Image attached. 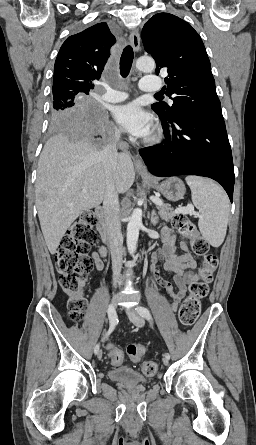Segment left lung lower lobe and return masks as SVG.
Here are the masks:
<instances>
[{
  "mask_svg": "<svg viewBox=\"0 0 256 445\" xmlns=\"http://www.w3.org/2000/svg\"><path fill=\"white\" fill-rule=\"evenodd\" d=\"M161 122L166 141L139 151L149 171L159 177L190 174L212 178L232 202L234 168L222 113L184 108Z\"/></svg>",
  "mask_w": 256,
  "mask_h": 445,
  "instance_id": "obj_1",
  "label": "left lung lower lobe"
}]
</instances>
